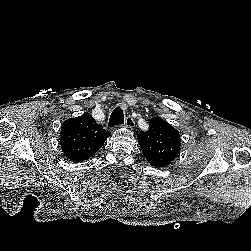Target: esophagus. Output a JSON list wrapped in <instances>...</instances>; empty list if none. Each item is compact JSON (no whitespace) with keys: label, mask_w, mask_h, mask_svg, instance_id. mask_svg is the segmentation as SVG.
<instances>
[{"label":"esophagus","mask_w":251,"mask_h":251,"mask_svg":"<svg viewBox=\"0 0 251 251\" xmlns=\"http://www.w3.org/2000/svg\"><path fill=\"white\" fill-rule=\"evenodd\" d=\"M125 126L131 130L135 128V122L131 116H127L125 120Z\"/></svg>","instance_id":"esophagus-1"}]
</instances>
